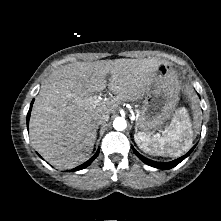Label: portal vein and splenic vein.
I'll return each instance as SVG.
<instances>
[{"label": "portal vein and splenic vein", "instance_id": "obj_1", "mask_svg": "<svg viewBox=\"0 0 221 221\" xmlns=\"http://www.w3.org/2000/svg\"><path fill=\"white\" fill-rule=\"evenodd\" d=\"M93 99H95V102H99V100H101L100 97L96 98V97H93Z\"/></svg>", "mask_w": 221, "mask_h": 221}]
</instances>
